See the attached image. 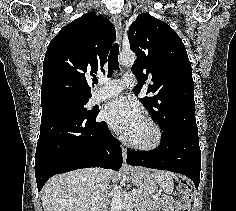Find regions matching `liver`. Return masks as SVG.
Segmentation results:
<instances>
[{
	"instance_id": "1",
	"label": "liver",
	"mask_w": 236,
	"mask_h": 211,
	"mask_svg": "<svg viewBox=\"0 0 236 211\" xmlns=\"http://www.w3.org/2000/svg\"><path fill=\"white\" fill-rule=\"evenodd\" d=\"M108 179L113 172L106 170ZM96 169L86 168L54 176L42 190L44 211H91Z\"/></svg>"
}]
</instances>
